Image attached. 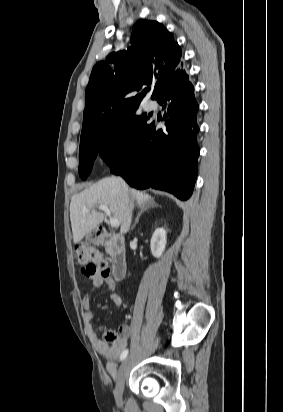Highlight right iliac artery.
I'll return each mask as SVG.
<instances>
[{"instance_id": "right-iliac-artery-1", "label": "right iliac artery", "mask_w": 283, "mask_h": 412, "mask_svg": "<svg viewBox=\"0 0 283 412\" xmlns=\"http://www.w3.org/2000/svg\"><path fill=\"white\" fill-rule=\"evenodd\" d=\"M127 355H128V350L126 349L122 352L120 356L121 361L124 360L127 357Z\"/></svg>"}]
</instances>
